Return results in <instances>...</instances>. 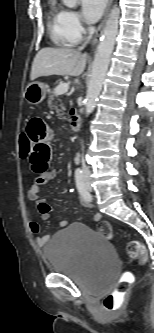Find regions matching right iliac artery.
<instances>
[{
	"label": "right iliac artery",
	"mask_w": 154,
	"mask_h": 333,
	"mask_svg": "<svg viewBox=\"0 0 154 333\" xmlns=\"http://www.w3.org/2000/svg\"><path fill=\"white\" fill-rule=\"evenodd\" d=\"M75 181H76V187L78 189L79 194L81 195V197L87 201V202H91L92 200V196L89 193V191L87 190V188L85 187L84 181H83V173L82 170L77 169L75 171Z\"/></svg>",
	"instance_id": "1"
}]
</instances>
